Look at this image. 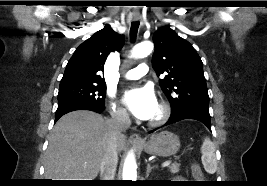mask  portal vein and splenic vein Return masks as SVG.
<instances>
[{
    "label": "portal vein and splenic vein",
    "mask_w": 267,
    "mask_h": 186,
    "mask_svg": "<svg viewBox=\"0 0 267 186\" xmlns=\"http://www.w3.org/2000/svg\"><path fill=\"white\" fill-rule=\"evenodd\" d=\"M170 165V161H165L163 164H162V167H167Z\"/></svg>",
    "instance_id": "portal-vein-and-splenic-vein-1"
}]
</instances>
